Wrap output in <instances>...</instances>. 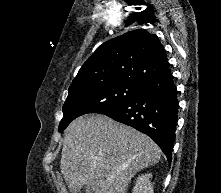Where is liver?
Here are the masks:
<instances>
[{
	"mask_svg": "<svg viewBox=\"0 0 221 193\" xmlns=\"http://www.w3.org/2000/svg\"><path fill=\"white\" fill-rule=\"evenodd\" d=\"M160 157V148L147 135L91 114L66 128L60 167L71 193L83 187L86 193H126L135 174Z\"/></svg>",
	"mask_w": 221,
	"mask_h": 193,
	"instance_id": "liver-1",
	"label": "liver"
}]
</instances>
